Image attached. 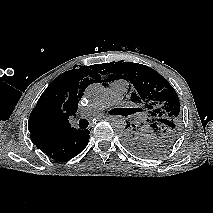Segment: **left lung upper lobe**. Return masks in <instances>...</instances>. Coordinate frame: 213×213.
I'll use <instances>...</instances> for the list:
<instances>
[{
  "instance_id": "obj_1",
  "label": "left lung upper lobe",
  "mask_w": 213,
  "mask_h": 213,
  "mask_svg": "<svg viewBox=\"0 0 213 213\" xmlns=\"http://www.w3.org/2000/svg\"><path fill=\"white\" fill-rule=\"evenodd\" d=\"M107 74L104 82L125 79L134 87L132 108L141 112L137 125L128 123L122 134L124 145L134 154L153 158L168 151L181 130L180 103L175 89L154 69L133 62H111L98 65Z\"/></svg>"
}]
</instances>
